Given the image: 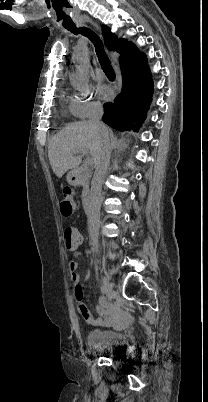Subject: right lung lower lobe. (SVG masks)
I'll use <instances>...</instances> for the list:
<instances>
[{
  "label": "right lung lower lobe",
  "instance_id": "right-lung-lower-lobe-1",
  "mask_svg": "<svg viewBox=\"0 0 208 402\" xmlns=\"http://www.w3.org/2000/svg\"><path fill=\"white\" fill-rule=\"evenodd\" d=\"M123 88L104 105L103 122L116 130L138 131L152 100L153 82L144 55L128 42L120 53Z\"/></svg>",
  "mask_w": 208,
  "mask_h": 402
}]
</instances>
